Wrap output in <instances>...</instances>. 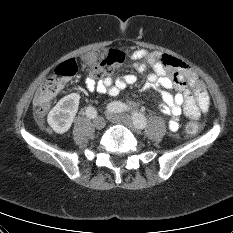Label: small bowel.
<instances>
[{
  "mask_svg": "<svg viewBox=\"0 0 233 233\" xmlns=\"http://www.w3.org/2000/svg\"><path fill=\"white\" fill-rule=\"evenodd\" d=\"M130 59L138 73L144 72L148 66L153 73L148 76L150 86L161 93L160 109L170 115L169 129L179 128V116L184 113L190 119H197L209 109V96L203 81L184 61L158 51L138 49L132 52ZM137 76L127 74L117 79L105 76L96 81L92 77L86 79L89 93L118 95L126 87L135 84ZM175 90L171 93L170 90Z\"/></svg>",
  "mask_w": 233,
  "mask_h": 233,
  "instance_id": "c3829d8e",
  "label": "small bowel"
}]
</instances>
